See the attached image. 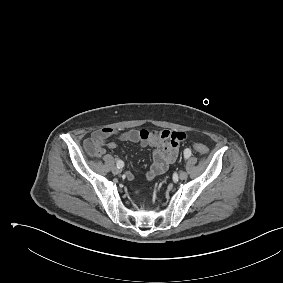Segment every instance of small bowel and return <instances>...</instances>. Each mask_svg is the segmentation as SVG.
<instances>
[{"label":"small bowel","instance_id":"c3829d8e","mask_svg":"<svg viewBox=\"0 0 283 283\" xmlns=\"http://www.w3.org/2000/svg\"><path fill=\"white\" fill-rule=\"evenodd\" d=\"M109 138L134 142L142 147L151 146L153 148V163L145 174L146 181L151 182L156 176L165 173L176 160L179 145L186 138V134L181 131L171 130L131 129L123 131L105 127L94 131L91 135V140L96 141L98 144H103ZM106 147L114 150L117 148V143L109 141ZM103 152L104 150L101 148V153ZM126 177L132 180L134 174L127 172Z\"/></svg>","mask_w":283,"mask_h":283}]
</instances>
